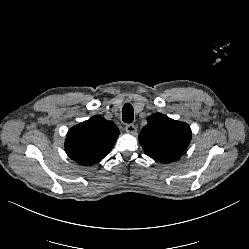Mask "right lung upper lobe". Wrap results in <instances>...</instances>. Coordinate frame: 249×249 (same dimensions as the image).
Masks as SVG:
<instances>
[{"instance_id":"cb5924a9","label":"right lung upper lobe","mask_w":249,"mask_h":249,"mask_svg":"<svg viewBox=\"0 0 249 249\" xmlns=\"http://www.w3.org/2000/svg\"><path fill=\"white\" fill-rule=\"evenodd\" d=\"M119 134L113 122L96 115L69 130L65 152L80 165H93L111 152Z\"/></svg>"}]
</instances>
